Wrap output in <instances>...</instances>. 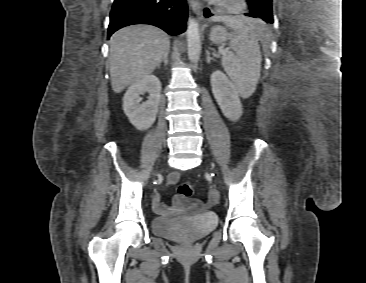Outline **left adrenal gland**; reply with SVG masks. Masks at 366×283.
<instances>
[{
	"label": "left adrenal gland",
	"instance_id": "left-adrenal-gland-1",
	"mask_svg": "<svg viewBox=\"0 0 366 283\" xmlns=\"http://www.w3.org/2000/svg\"><path fill=\"white\" fill-rule=\"evenodd\" d=\"M206 54H207V57H206V60H207V63L209 64L211 60H214L212 57H210V52L207 50L206 51Z\"/></svg>",
	"mask_w": 366,
	"mask_h": 283
}]
</instances>
